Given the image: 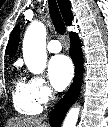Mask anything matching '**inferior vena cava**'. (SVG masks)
I'll list each match as a JSON object with an SVG mask.
<instances>
[{
  "label": "inferior vena cava",
  "mask_w": 108,
  "mask_h": 127,
  "mask_svg": "<svg viewBox=\"0 0 108 127\" xmlns=\"http://www.w3.org/2000/svg\"><path fill=\"white\" fill-rule=\"evenodd\" d=\"M50 95H51V93H50ZM41 118H42L43 120H46L47 117H46V115H44V116H42Z\"/></svg>",
  "instance_id": "1"
}]
</instances>
